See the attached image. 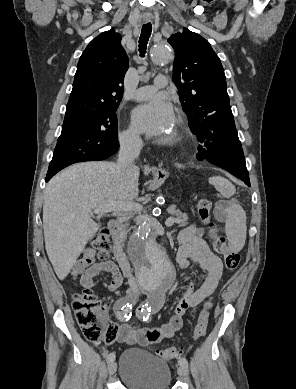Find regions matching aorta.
<instances>
[{
	"mask_svg": "<svg viewBox=\"0 0 296 389\" xmlns=\"http://www.w3.org/2000/svg\"><path fill=\"white\" fill-rule=\"evenodd\" d=\"M151 59L156 64L172 62L174 52L169 45L159 43L151 49ZM128 253L136 266L139 285L149 295L165 292L173 285L174 267L148 222L142 223L132 235Z\"/></svg>",
	"mask_w": 296,
	"mask_h": 389,
	"instance_id": "obj_1",
	"label": "aorta"
}]
</instances>
